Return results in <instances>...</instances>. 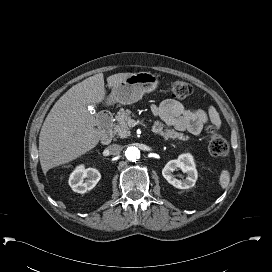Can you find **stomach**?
<instances>
[{
    "instance_id": "0dacf381",
    "label": "stomach",
    "mask_w": 272,
    "mask_h": 272,
    "mask_svg": "<svg viewBox=\"0 0 272 272\" xmlns=\"http://www.w3.org/2000/svg\"><path fill=\"white\" fill-rule=\"evenodd\" d=\"M158 84V76L151 72L134 73L112 88L108 103H120L122 105L135 103L145 93L154 91Z\"/></svg>"
}]
</instances>
